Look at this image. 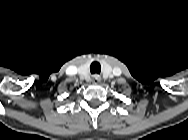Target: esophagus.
<instances>
[{
	"label": "esophagus",
	"mask_w": 188,
	"mask_h": 140,
	"mask_svg": "<svg viewBox=\"0 0 188 140\" xmlns=\"http://www.w3.org/2000/svg\"><path fill=\"white\" fill-rule=\"evenodd\" d=\"M93 81L98 83L101 81V77L98 74L93 75Z\"/></svg>",
	"instance_id": "1"
}]
</instances>
